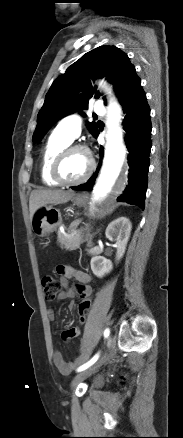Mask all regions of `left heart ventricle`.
Masks as SVG:
<instances>
[{"mask_svg":"<svg viewBox=\"0 0 183 438\" xmlns=\"http://www.w3.org/2000/svg\"><path fill=\"white\" fill-rule=\"evenodd\" d=\"M87 155L82 151L70 153L62 163L60 174L66 181H75L80 179L88 169Z\"/></svg>","mask_w":183,"mask_h":438,"instance_id":"1","label":"left heart ventricle"}]
</instances>
